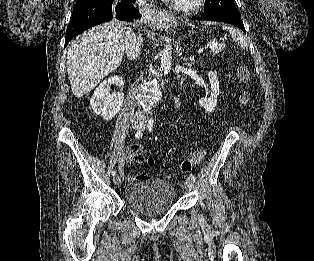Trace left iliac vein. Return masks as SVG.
<instances>
[{"label":"left iliac vein","instance_id":"obj_1","mask_svg":"<svg viewBox=\"0 0 314 261\" xmlns=\"http://www.w3.org/2000/svg\"><path fill=\"white\" fill-rule=\"evenodd\" d=\"M145 126H146V121H144L141 125V129L144 130L145 129ZM184 185H185V189L187 191H192L194 189V183L193 181L190 179V178H186L185 182H184Z\"/></svg>","mask_w":314,"mask_h":261}]
</instances>
